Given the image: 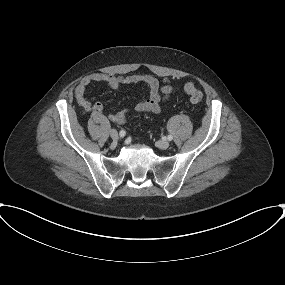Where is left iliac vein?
Listing matches in <instances>:
<instances>
[{
  "label": "left iliac vein",
  "mask_w": 285,
  "mask_h": 285,
  "mask_svg": "<svg viewBox=\"0 0 285 285\" xmlns=\"http://www.w3.org/2000/svg\"><path fill=\"white\" fill-rule=\"evenodd\" d=\"M157 147L160 149H167L169 147V142L166 140H160L157 142Z\"/></svg>",
  "instance_id": "obj_1"
}]
</instances>
